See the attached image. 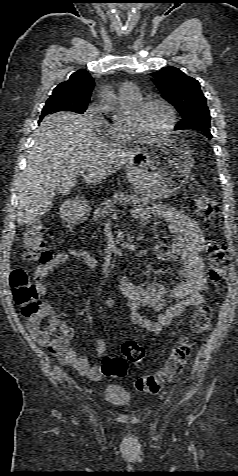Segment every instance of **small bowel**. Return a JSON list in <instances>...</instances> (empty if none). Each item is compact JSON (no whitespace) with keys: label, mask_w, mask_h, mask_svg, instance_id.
<instances>
[{"label":"small bowel","mask_w":238,"mask_h":476,"mask_svg":"<svg viewBox=\"0 0 238 476\" xmlns=\"http://www.w3.org/2000/svg\"><path fill=\"white\" fill-rule=\"evenodd\" d=\"M133 216L143 225L153 218L164 220L172 237L171 244L166 249L156 244L155 251L163 260L179 259L181 261L178 272L182 280L172 288H166L158 282L147 286L136 285L125 275L119 278V291L126 300L124 309L131 324L159 334L186 309L198 307L203 301L202 294L207 288L201 256L204 249V236L192 218L167 205L158 204L149 209L137 208L133 211ZM71 258H77L88 270H94L97 266L96 259L85 249H72L56 254L39 266L34 273V282L40 297H45L48 293L45 283L48 274ZM104 305L108 309L118 307L112 295L104 298ZM143 307L153 308L158 316L151 319L142 315L140 309ZM48 309L51 315V309L49 307ZM49 326L69 328L57 316H51ZM95 348L99 355H104L107 351L105 342L100 338L96 339ZM56 355L62 364L73 367L91 380L98 381L104 375L102 367L91 366L88 358L80 357L72 347L67 346Z\"/></svg>","instance_id":"1"}]
</instances>
